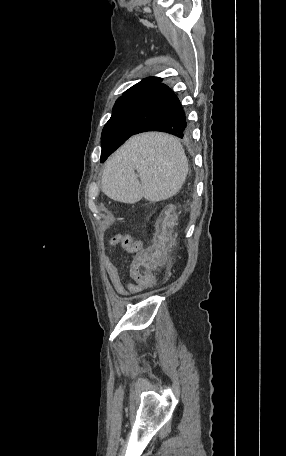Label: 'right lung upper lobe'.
<instances>
[{"label":"right lung upper lobe","instance_id":"right-lung-upper-lobe-1","mask_svg":"<svg viewBox=\"0 0 286 456\" xmlns=\"http://www.w3.org/2000/svg\"><path fill=\"white\" fill-rule=\"evenodd\" d=\"M161 81H162V78H159V77H149V78L143 79L141 82L135 84L134 86L129 88L127 91H125L123 96H121L118 100H121L122 98L127 96L129 93H131L139 88H142V87H145V86H148L151 84H155V83H158Z\"/></svg>","mask_w":286,"mask_h":456}]
</instances>
